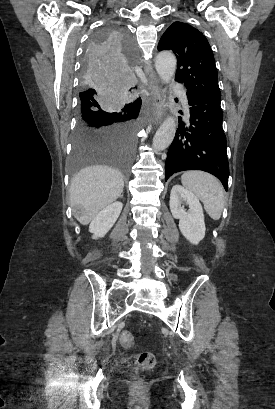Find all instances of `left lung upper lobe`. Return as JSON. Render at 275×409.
Segmentation results:
<instances>
[{"instance_id":"obj_1","label":"left lung upper lobe","mask_w":275,"mask_h":409,"mask_svg":"<svg viewBox=\"0 0 275 409\" xmlns=\"http://www.w3.org/2000/svg\"><path fill=\"white\" fill-rule=\"evenodd\" d=\"M158 50H172L177 57L175 80L187 91L221 100L217 69L205 36L183 22H174L162 35Z\"/></svg>"}]
</instances>
